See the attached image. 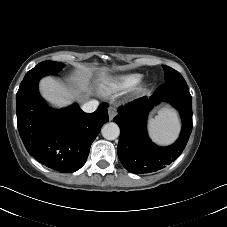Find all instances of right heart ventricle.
Returning <instances> with one entry per match:
<instances>
[{"label": "right heart ventricle", "mask_w": 227, "mask_h": 227, "mask_svg": "<svg viewBox=\"0 0 227 227\" xmlns=\"http://www.w3.org/2000/svg\"><path fill=\"white\" fill-rule=\"evenodd\" d=\"M141 78L139 73H130L117 76L107 81L106 87L109 91H120L132 88Z\"/></svg>", "instance_id": "e07e8e85"}]
</instances>
